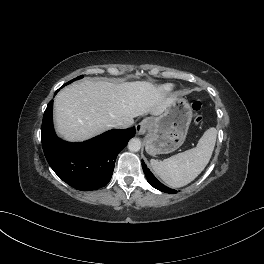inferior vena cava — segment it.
I'll return each instance as SVG.
<instances>
[{"label": "inferior vena cava", "mask_w": 264, "mask_h": 264, "mask_svg": "<svg viewBox=\"0 0 264 264\" xmlns=\"http://www.w3.org/2000/svg\"><path fill=\"white\" fill-rule=\"evenodd\" d=\"M114 128H119V129H124V128H127L128 125L123 122V121H120V122H117L113 125Z\"/></svg>", "instance_id": "obj_1"}]
</instances>
